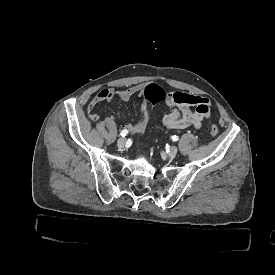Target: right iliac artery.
I'll list each match as a JSON object with an SVG mask.
<instances>
[{"mask_svg": "<svg viewBox=\"0 0 275 275\" xmlns=\"http://www.w3.org/2000/svg\"><path fill=\"white\" fill-rule=\"evenodd\" d=\"M127 134H128V130H126V129L122 130L121 133H120V135L122 137H125Z\"/></svg>", "mask_w": 275, "mask_h": 275, "instance_id": "1", "label": "right iliac artery"}]
</instances>
